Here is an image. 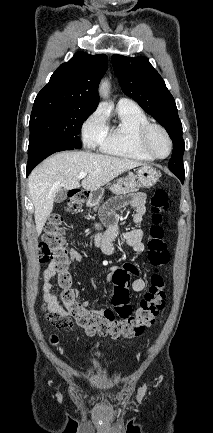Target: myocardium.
Segmentation results:
<instances>
[{
    "label": "myocardium",
    "mask_w": 213,
    "mask_h": 433,
    "mask_svg": "<svg viewBox=\"0 0 213 433\" xmlns=\"http://www.w3.org/2000/svg\"><path fill=\"white\" fill-rule=\"evenodd\" d=\"M153 130L161 131L164 134V136L166 137V139L168 140L169 151L165 156L158 155L150 146L149 137H150V134ZM137 142H138L140 149L143 152H145L147 155H149L155 159H165V158L169 157L171 155V153L173 151V147H174L172 137H171L170 133L167 131V129L164 126H162L158 123H153V122H148L139 128L138 133H137Z\"/></svg>",
    "instance_id": "obj_1"
}]
</instances>
